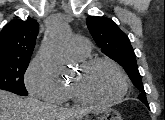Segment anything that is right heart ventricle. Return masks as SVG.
<instances>
[{
	"label": "right heart ventricle",
	"instance_id": "1",
	"mask_svg": "<svg viewBox=\"0 0 165 120\" xmlns=\"http://www.w3.org/2000/svg\"><path fill=\"white\" fill-rule=\"evenodd\" d=\"M63 100H73V101L77 100L71 91L70 85L64 86V98H63Z\"/></svg>",
	"mask_w": 165,
	"mask_h": 120
}]
</instances>
